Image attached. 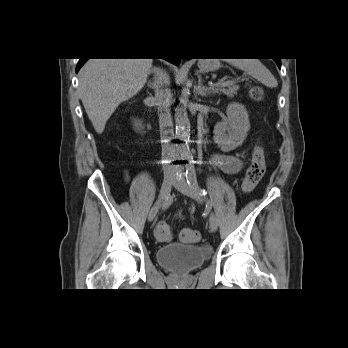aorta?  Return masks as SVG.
Returning <instances> with one entry per match:
<instances>
[{
	"instance_id": "762f6f07",
	"label": "aorta",
	"mask_w": 348,
	"mask_h": 348,
	"mask_svg": "<svg viewBox=\"0 0 348 348\" xmlns=\"http://www.w3.org/2000/svg\"><path fill=\"white\" fill-rule=\"evenodd\" d=\"M190 93L187 88H184L181 95V105L175 110L176 138L179 142L176 145L177 153L183 158L190 156L189 138H190V121L186 109L188 97Z\"/></svg>"
}]
</instances>
